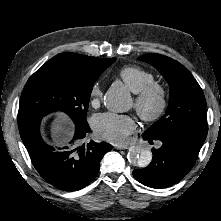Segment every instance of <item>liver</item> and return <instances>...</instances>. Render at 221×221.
<instances>
[{
    "mask_svg": "<svg viewBox=\"0 0 221 221\" xmlns=\"http://www.w3.org/2000/svg\"><path fill=\"white\" fill-rule=\"evenodd\" d=\"M73 123L65 114H58L51 123V136L53 140L63 145L73 134Z\"/></svg>",
    "mask_w": 221,
    "mask_h": 221,
    "instance_id": "6515ba94",
    "label": "liver"
}]
</instances>
